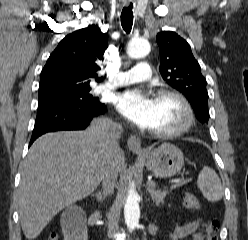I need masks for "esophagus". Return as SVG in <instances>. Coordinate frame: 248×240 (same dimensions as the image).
Instances as JSON below:
<instances>
[{"mask_svg": "<svg viewBox=\"0 0 248 240\" xmlns=\"http://www.w3.org/2000/svg\"><path fill=\"white\" fill-rule=\"evenodd\" d=\"M127 145H128V148L133 153H137V154H142L143 153V149H142V146H141V139L138 136L131 135L128 138Z\"/></svg>", "mask_w": 248, "mask_h": 240, "instance_id": "34e87169", "label": "esophagus"}]
</instances>
